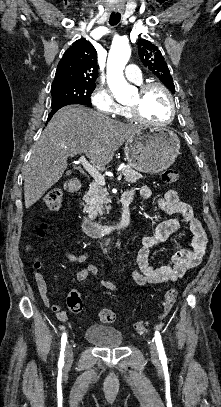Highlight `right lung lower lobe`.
<instances>
[{
  "mask_svg": "<svg viewBox=\"0 0 221 407\" xmlns=\"http://www.w3.org/2000/svg\"><path fill=\"white\" fill-rule=\"evenodd\" d=\"M70 104H72V103H65V104H61V105L52 107V110H51V112H50V114H49V116H48V120H50V119L52 118L53 114H54L55 112H57L60 108L66 106V105H70Z\"/></svg>",
  "mask_w": 221,
  "mask_h": 407,
  "instance_id": "1",
  "label": "right lung lower lobe"
}]
</instances>
